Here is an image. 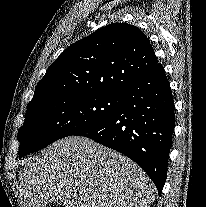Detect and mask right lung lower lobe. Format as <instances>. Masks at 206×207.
<instances>
[{"label": "right lung lower lobe", "instance_id": "right-lung-lower-lobe-1", "mask_svg": "<svg viewBox=\"0 0 206 207\" xmlns=\"http://www.w3.org/2000/svg\"><path fill=\"white\" fill-rule=\"evenodd\" d=\"M119 109L78 136L90 138L135 161L161 194L175 126L174 100L159 63L122 92Z\"/></svg>", "mask_w": 206, "mask_h": 207}]
</instances>
